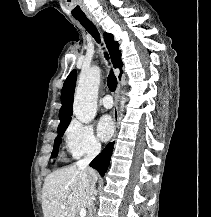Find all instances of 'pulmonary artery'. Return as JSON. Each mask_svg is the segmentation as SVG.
<instances>
[{"instance_id":"obj_1","label":"pulmonary artery","mask_w":211,"mask_h":217,"mask_svg":"<svg viewBox=\"0 0 211 217\" xmlns=\"http://www.w3.org/2000/svg\"><path fill=\"white\" fill-rule=\"evenodd\" d=\"M102 106L105 109H110L113 106V100L112 97L110 95H105L102 99Z\"/></svg>"}]
</instances>
